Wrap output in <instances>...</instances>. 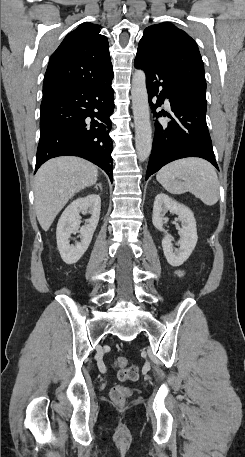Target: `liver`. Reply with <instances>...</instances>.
<instances>
[{"instance_id": "obj_1", "label": "liver", "mask_w": 245, "mask_h": 457, "mask_svg": "<svg viewBox=\"0 0 245 457\" xmlns=\"http://www.w3.org/2000/svg\"><path fill=\"white\" fill-rule=\"evenodd\" d=\"M98 168L78 156H57L44 162L35 176V210L43 231H49L69 198L85 186L95 184Z\"/></svg>"}]
</instances>
